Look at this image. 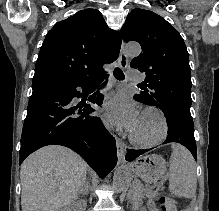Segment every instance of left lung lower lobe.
Segmentation results:
<instances>
[{"label": "left lung lower lobe", "instance_id": "left-lung-lower-lobe-1", "mask_svg": "<svg viewBox=\"0 0 219 211\" xmlns=\"http://www.w3.org/2000/svg\"><path fill=\"white\" fill-rule=\"evenodd\" d=\"M134 99L139 101L135 96ZM168 136L163 144L176 142L187 147L192 153L193 157L197 160V148L194 138V125L193 120L180 116H171L167 118ZM152 149V148H151ZM134 150L127 149L126 160L132 161L141 154L151 150Z\"/></svg>", "mask_w": 219, "mask_h": 211}]
</instances>
